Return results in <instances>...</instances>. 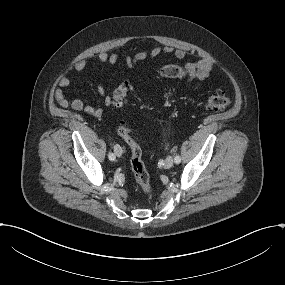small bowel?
Here are the masks:
<instances>
[{
	"instance_id": "1",
	"label": "small bowel",
	"mask_w": 285,
	"mask_h": 285,
	"mask_svg": "<svg viewBox=\"0 0 285 285\" xmlns=\"http://www.w3.org/2000/svg\"><path fill=\"white\" fill-rule=\"evenodd\" d=\"M160 55H172L176 59H183L187 53L183 49H174L171 46L154 47L150 51H140L134 55L124 57V62L128 67H133L146 59H155ZM119 56L116 52L102 51L98 54V61L102 65L113 66L117 63ZM86 67V60L80 58L73 62L66 71L58 79V87L54 91V98L57 104L63 108H71L75 111L84 112L96 118L102 117L106 108L112 106L111 96L105 95L104 86L99 83L97 86L98 93L103 96V105L100 107H93L85 104L80 99H68L63 89L70 86L71 81L69 73L72 71L81 73ZM213 64L209 59L201 58L197 60H190L185 65L186 71V85L190 88L198 87L202 82L206 81L211 72Z\"/></svg>"
}]
</instances>
